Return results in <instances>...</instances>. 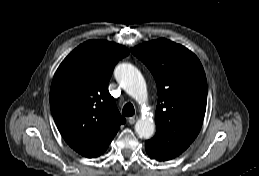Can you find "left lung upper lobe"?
<instances>
[{
	"instance_id": "left-lung-upper-lobe-1",
	"label": "left lung upper lobe",
	"mask_w": 259,
	"mask_h": 176,
	"mask_svg": "<svg viewBox=\"0 0 259 176\" xmlns=\"http://www.w3.org/2000/svg\"><path fill=\"white\" fill-rule=\"evenodd\" d=\"M153 74L158 89L157 131L145 142L147 154L165 161L185 151L197 137L207 104L203 66L186 47L161 38L131 49Z\"/></svg>"
}]
</instances>
